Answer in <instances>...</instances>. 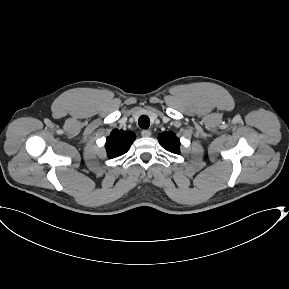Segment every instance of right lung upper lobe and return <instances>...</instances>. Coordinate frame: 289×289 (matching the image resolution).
I'll return each mask as SVG.
<instances>
[{
	"label": "right lung upper lobe",
	"mask_w": 289,
	"mask_h": 289,
	"mask_svg": "<svg viewBox=\"0 0 289 289\" xmlns=\"http://www.w3.org/2000/svg\"><path fill=\"white\" fill-rule=\"evenodd\" d=\"M136 136L133 132L113 130L106 138V150L109 158H115L128 151Z\"/></svg>",
	"instance_id": "cb5924a9"
}]
</instances>
